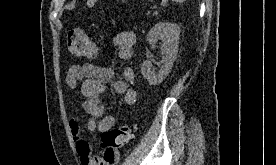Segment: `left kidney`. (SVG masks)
<instances>
[{"label":"left kidney","mask_w":276,"mask_h":165,"mask_svg":"<svg viewBox=\"0 0 276 165\" xmlns=\"http://www.w3.org/2000/svg\"><path fill=\"white\" fill-rule=\"evenodd\" d=\"M180 27L167 22L157 23L148 32L146 39L153 47L161 40L162 65L158 73L152 70V62L146 60L141 65V73L150 85L160 84L169 74L176 59L179 44Z\"/></svg>","instance_id":"1"}]
</instances>
